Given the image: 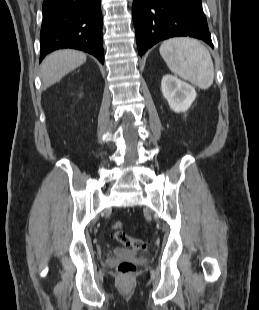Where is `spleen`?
<instances>
[{"instance_id":"spleen-1","label":"spleen","mask_w":259,"mask_h":310,"mask_svg":"<svg viewBox=\"0 0 259 310\" xmlns=\"http://www.w3.org/2000/svg\"><path fill=\"white\" fill-rule=\"evenodd\" d=\"M168 68L200 89L214 80V65L208 49L198 40L180 37L164 41L159 49Z\"/></svg>"}]
</instances>
